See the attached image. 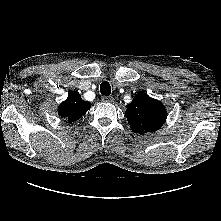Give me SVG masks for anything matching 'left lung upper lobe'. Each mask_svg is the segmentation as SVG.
<instances>
[{"label": "left lung upper lobe", "instance_id": "obj_1", "mask_svg": "<svg viewBox=\"0 0 221 221\" xmlns=\"http://www.w3.org/2000/svg\"><path fill=\"white\" fill-rule=\"evenodd\" d=\"M126 108L125 116L131 129L140 134L157 131L167 118L164 105L146 93L135 96Z\"/></svg>", "mask_w": 221, "mask_h": 221}]
</instances>
